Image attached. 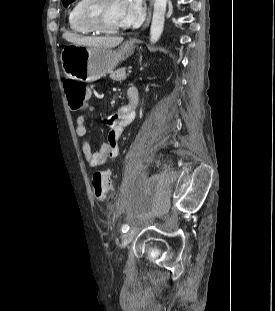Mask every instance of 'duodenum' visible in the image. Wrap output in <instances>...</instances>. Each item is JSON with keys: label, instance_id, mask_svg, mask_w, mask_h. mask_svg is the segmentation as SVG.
<instances>
[{"label": "duodenum", "instance_id": "410a0bca", "mask_svg": "<svg viewBox=\"0 0 275 311\" xmlns=\"http://www.w3.org/2000/svg\"><path fill=\"white\" fill-rule=\"evenodd\" d=\"M130 102H131L132 105H136L138 100L135 97H130Z\"/></svg>", "mask_w": 275, "mask_h": 311}]
</instances>
